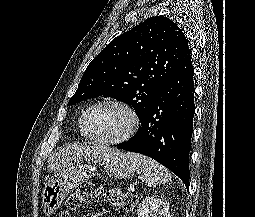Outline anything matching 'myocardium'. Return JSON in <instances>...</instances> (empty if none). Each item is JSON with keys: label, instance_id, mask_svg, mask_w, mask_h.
I'll use <instances>...</instances> for the list:
<instances>
[{"label": "myocardium", "instance_id": "obj_1", "mask_svg": "<svg viewBox=\"0 0 255 217\" xmlns=\"http://www.w3.org/2000/svg\"><path fill=\"white\" fill-rule=\"evenodd\" d=\"M102 105L117 106V107L123 109L129 116L130 121H129V125H128L126 131L117 138L105 139V138L99 137V136L93 134L88 127L87 119H88L89 113L94 108L102 106ZM139 124H140V119H139V116H138L136 110L129 103H127L123 100L114 99V98H107V99H103V100L93 103L84 111V113L81 117V126H82L83 131L86 133V135L91 139H94L100 143L108 144V145H117V144L127 141L137 131Z\"/></svg>", "mask_w": 255, "mask_h": 217}]
</instances>
